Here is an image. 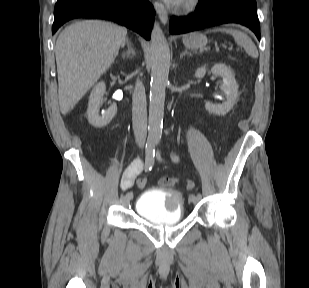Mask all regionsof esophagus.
Masks as SVG:
<instances>
[{
	"label": "esophagus",
	"instance_id": "34e87169",
	"mask_svg": "<svg viewBox=\"0 0 309 288\" xmlns=\"http://www.w3.org/2000/svg\"><path fill=\"white\" fill-rule=\"evenodd\" d=\"M154 8L156 13L158 14V17L162 24H166L168 21V13L164 7V5L160 2H155L154 3Z\"/></svg>",
	"mask_w": 309,
	"mask_h": 288
}]
</instances>
